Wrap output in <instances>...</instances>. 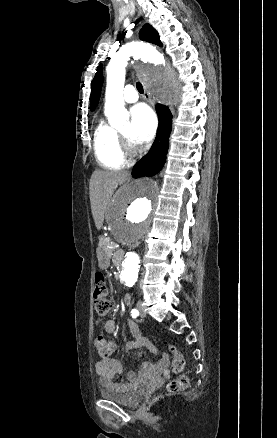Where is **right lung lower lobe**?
I'll return each mask as SVG.
<instances>
[{"mask_svg": "<svg viewBox=\"0 0 277 438\" xmlns=\"http://www.w3.org/2000/svg\"><path fill=\"white\" fill-rule=\"evenodd\" d=\"M156 111L159 118L158 133L148 154L134 166L132 172L134 178L155 175L162 169L166 161L172 114L168 107L161 104H157Z\"/></svg>", "mask_w": 277, "mask_h": 438, "instance_id": "1", "label": "right lung lower lobe"}]
</instances>
